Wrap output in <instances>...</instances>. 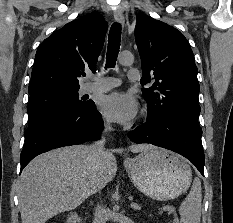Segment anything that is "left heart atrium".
I'll use <instances>...</instances> for the list:
<instances>
[{
    "mask_svg": "<svg viewBox=\"0 0 233 223\" xmlns=\"http://www.w3.org/2000/svg\"><path fill=\"white\" fill-rule=\"evenodd\" d=\"M101 113L109 120L127 124L134 121L139 114V105L130 94H113L100 100Z\"/></svg>",
    "mask_w": 233,
    "mask_h": 223,
    "instance_id": "left-heart-atrium-1",
    "label": "left heart atrium"
}]
</instances>
